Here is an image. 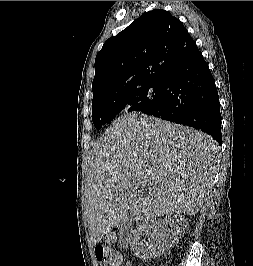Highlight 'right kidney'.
Returning <instances> with one entry per match:
<instances>
[{"label":"right kidney","mask_w":253,"mask_h":266,"mask_svg":"<svg viewBox=\"0 0 253 266\" xmlns=\"http://www.w3.org/2000/svg\"><path fill=\"white\" fill-rule=\"evenodd\" d=\"M186 228L187 222L181 216L147 219L132 231L129 244L135 256L144 260L157 258L179 241Z\"/></svg>","instance_id":"ca27d5eb"}]
</instances>
